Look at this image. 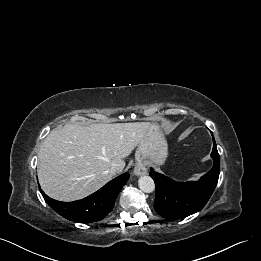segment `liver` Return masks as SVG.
Returning a JSON list of instances; mask_svg holds the SVG:
<instances>
[{"label": "liver", "mask_w": 261, "mask_h": 261, "mask_svg": "<svg viewBox=\"0 0 261 261\" xmlns=\"http://www.w3.org/2000/svg\"><path fill=\"white\" fill-rule=\"evenodd\" d=\"M150 122L66 124L44 139L38 153V179L42 190L59 201L82 199L109 182L110 169L125 167L128 157Z\"/></svg>", "instance_id": "6515ba94"}]
</instances>
